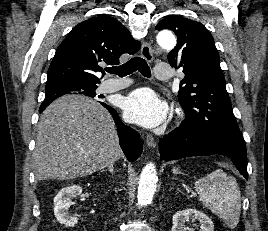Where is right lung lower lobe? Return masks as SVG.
<instances>
[{"label": "right lung lower lobe", "mask_w": 268, "mask_h": 231, "mask_svg": "<svg viewBox=\"0 0 268 231\" xmlns=\"http://www.w3.org/2000/svg\"><path fill=\"white\" fill-rule=\"evenodd\" d=\"M101 104L108 109L115 120L119 132L120 146L127 159L130 162L137 160L140 157L143 148V143L139 134L134 129L124 125L120 121L117 112L112 107L105 103ZM43 110H39V112L41 113Z\"/></svg>", "instance_id": "right-lung-lower-lobe-1"}]
</instances>
